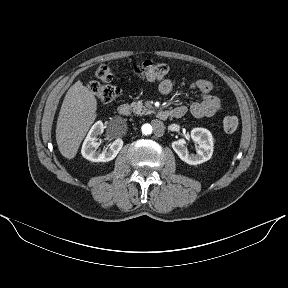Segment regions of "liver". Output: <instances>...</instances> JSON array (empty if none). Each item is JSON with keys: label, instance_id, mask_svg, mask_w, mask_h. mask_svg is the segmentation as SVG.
Returning <instances> with one entry per match:
<instances>
[{"label": "liver", "instance_id": "liver-1", "mask_svg": "<svg viewBox=\"0 0 288 288\" xmlns=\"http://www.w3.org/2000/svg\"><path fill=\"white\" fill-rule=\"evenodd\" d=\"M97 101L91 90L77 81L66 93L56 126L60 153L67 159L77 154L79 146L96 119Z\"/></svg>", "mask_w": 288, "mask_h": 288}]
</instances>
